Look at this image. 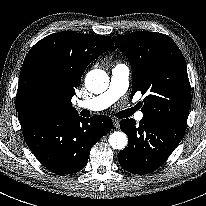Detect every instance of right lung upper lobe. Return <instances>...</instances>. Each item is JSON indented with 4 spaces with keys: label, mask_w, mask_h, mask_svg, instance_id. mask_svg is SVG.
Masks as SVG:
<instances>
[{
    "label": "right lung upper lobe",
    "mask_w": 206,
    "mask_h": 206,
    "mask_svg": "<svg viewBox=\"0 0 206 206\" xmlns=\"http://www.w3.org/2000/svg\"><path fill=\"white\" fill-rule=\"evenodd\" d=\"M108 36L73 31L51 34L37 42L21 68L17 110L23 130L76 115L71 98L85 68L106 51H114Z\"/></svg>",
    "instance_id": "cb5924a9"
}]
</instances>
